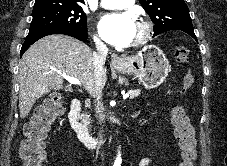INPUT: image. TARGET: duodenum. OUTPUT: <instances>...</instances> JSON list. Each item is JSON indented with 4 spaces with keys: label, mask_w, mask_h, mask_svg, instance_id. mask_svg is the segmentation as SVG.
<instances>
[{
    "label": "duodenum",
    "mask_w": 227,
    "mask_h": 166,
    "mask_svg": "<svg viewBox=\"0 0 227 166\" xmlns=\"http://www.w3.org/2000/svg\"><path fill=\"white\" fill-rule=\"evenodd\" d=\"M81 110L82 102L79 99H73L71 101L70 110L68 113L69 121L79 140L84 143L87 148L95 149L100 143V137L92 136L79 121Z\"/></svg>",
    "instance_id": "1"
}]
</instances>
